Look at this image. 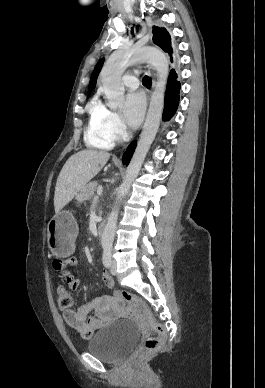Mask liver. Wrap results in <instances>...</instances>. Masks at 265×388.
Returning a JSON list of instances; mask_svg holds the SVG:
<instances>
[{
  "label": "liver",
  "mask_w": 265,
  "mask_h": 388,
  "mask_svg": "<svg viewBox=\"0 0 265 388\" xmlns=\"http://www.w3.org/2000/svg\"><path fill=\"white\" fill-rule=\"evenodd\" d=\"M108 152L82 150L71 156L64 164L56 182L54 208L56 214L67 206L77 192L99 174L109 160Z\"/></svg>",
  "instance_id": "6515ba94"
}]
</instances>
